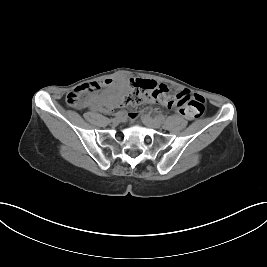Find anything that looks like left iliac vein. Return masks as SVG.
<instances>
[{
	"label": "left iliac vein",
	"mask_w": 267,
	"mask_h": 267,
	"mask_svg": "<svg viewBox=\"0 0 267 267\" xmlns=\"http://www.w3.org/2000/svg\"><path fill=\"white\" fill-rule=\"evenodd\" d=\"M143 123L150 127V128H154V129H158L161 127V122L158 121L157 119H154L152 117H150L149 115H144L143 116Z\"/></svg>",
	"instance_id": "4c4485c4"
}]
</instances>
